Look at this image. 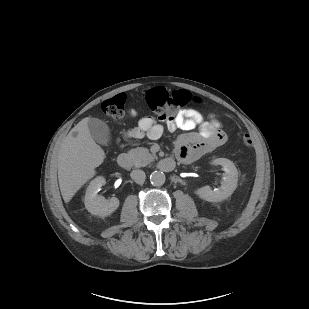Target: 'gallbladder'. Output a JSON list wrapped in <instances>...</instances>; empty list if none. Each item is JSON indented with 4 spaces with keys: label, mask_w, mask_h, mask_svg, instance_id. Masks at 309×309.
I'll use <instances>...</instances> for the list:
<instances>
[{
    "label": "gallbladder",
    "mask_w": 309,
    "mask_h": 309,
    "mask_svg": "<svg viewBox=\"0 0 309 309\" xmlns=\"http://www.w3.org/2000/svg\"><path fill=\"white\" fill-rule=\"evenodd\" d=\"M88 128L92 138L99 144L107 146L110 143V131L108 125L98 118H90Z\"/></svg>",
    "instance_id": "gallbladder-1"
}]
</instances>
